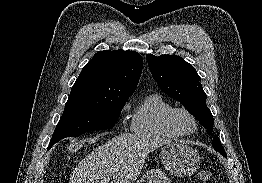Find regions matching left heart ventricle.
Instances as JSON below:
<instances>
[{
    "mask_svg": "<svg viewBox=\"0 0 262 183\" xmlns=\"http://www.w3.org/2000/svg\"><path fill=\"white\" fill-rule=\"evenodd\" d=\"M178 123L184 131L190 132L194 129L193 121L185 114L178 116Z\"/></svg>",
    "mask_w": 262,
    "mask_h": 183,
    "instance_id": "left-heart-ventricle-1",
    "label": "left heart ventricle"
}]
</instances>
